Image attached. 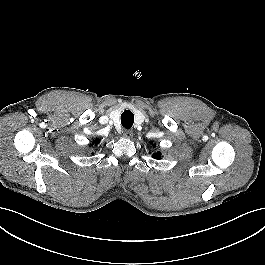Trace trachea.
Here are the masks:
<instances>
[{"label": "trachea", "instance_id": "obj_1", "mask_svg": "<svg viewBox=\"0 0 265 265\" xmlns=\"http://www.w3.org/2000/svg\"><path fill=\"white\" fill-rule=\"evenodd\" d=\"M134 123V114L130 110H125L121 114V124L125 129L132 127Z\"/></svg>", "mask_w": 265, "mask_h": 265}]
</instances>
